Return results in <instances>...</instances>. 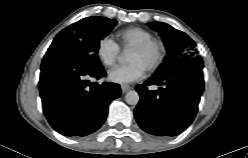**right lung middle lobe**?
Wrapping results in <instances>:
<instances>
[{
    "mask_svg": "<svg viewBox=\"0 0 248 158\" xmlns=\"http://www.w3.org/2000/svg\"><path fill=\"white\" fill-rule=\"evenodd\" d=\"M117 24L105 17H87L63 29L46 55L61 54L80 59H98L100 40Z\"/></svg>",
    "mask_w": 248,
    "mask_h": 158,
    "instance_id": "1",
    "label": "right lung middle lobe"
}]
</instances>
